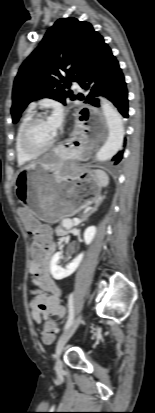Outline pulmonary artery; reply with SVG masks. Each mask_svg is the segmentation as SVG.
<instances>
[{
  "mask_svg": "<svg viewBox=\"0 0 155 413\" xmlns=\"http://www.w3.org/2000/svg\"><path fill=\"white\" fill-rule=\"evenodd\" d=\"M74 85H75V87H78V88H79V85H78L77 82H74ZM34 107H35V103H31V104H30V108H34Z\"/></svg>",
  "mask_w": 155,
  "mask_h": 413,
  "instance_id": "e3ab8cb5",
  "label": "pulmonary artery"
}]
</instances>
